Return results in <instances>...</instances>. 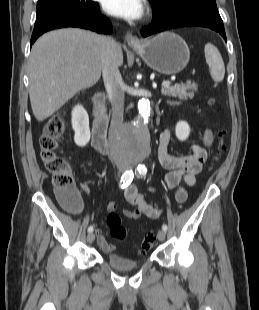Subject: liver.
<instances>
[{"label": "liver", "mask_w": 259, "mask_h": 310, "mask_svg": "<svg viewBox=\"0 0 259 310\" xmlns=\"http://www.w3.org/2000/svg\"><path fill=\"white\" fill-rule=\"evenodd\" d=\"M103 52V36L75 28L50 31L34 43L28 63L29 96L39 122L53 115L78 92L98 82ZM115 58L121 66L120 45Z\"/></svg>", "instance_id": "obj_1"}]
</instances>
